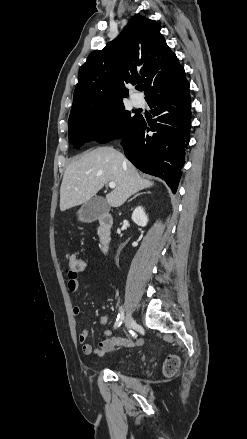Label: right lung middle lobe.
<instances>
[{"mask_svg":"<svg viewBox=\"0 0 247 439\" xmlns=\"http://www.w3.org/2000/svg\"><path fill=\"white\" fill-rule=\"evenodd\" d=\"M139 117L125 110L123 101L97 107L69 117V140L77 149L91 140L106 143L122 137Z\"/></svg>","mask_w":247,"mask_h":439,"instance_id":"right-lung-middle-lobe-1","label":"right lung middle lobe"}]
</instances>
